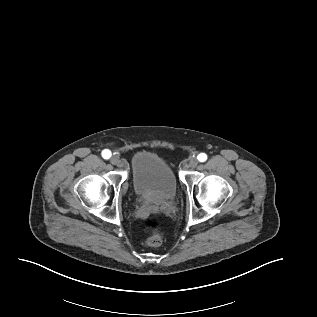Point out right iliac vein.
<instances>
[{
	"label": "right iliac vein",
	"instance_id": "right-iliac-vein-1",
	"mask_svg": "<svg viewBox=\"0 0 317 317\" xmlns=\"http://www.w3.org/2000/svg\"><path fill=\"white\" fill-rule=\"evenodd\" d=\"M110 162L111 164L118 166L120 164V159L118 156H112Z\"/></svg>",
	"mask_w": 317,
	"mask_h": 317
}]
</instances>
